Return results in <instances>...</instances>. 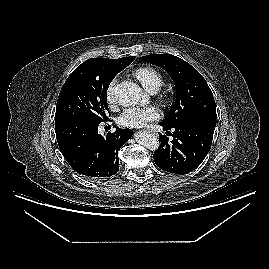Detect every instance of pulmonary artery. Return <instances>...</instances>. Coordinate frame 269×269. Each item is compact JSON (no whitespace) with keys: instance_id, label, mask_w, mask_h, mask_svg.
Returning <instances> with one entry per match:
<instances>
[{"instance_id":"obj_1","label":"pulmonary artery","mask_w":269,"mask_h":269,"mask_svg":"<svg viewBox=\"0 0 269 269\" xmlns=\"http://www.w3.org/2000/svg\"><path fill=\"white\" fill-rule=\"evenodd\" d=\"M156 92H157V90H153V91H151L150 93L154 94V93H156Z\"/></svg>"}]
</instances>
